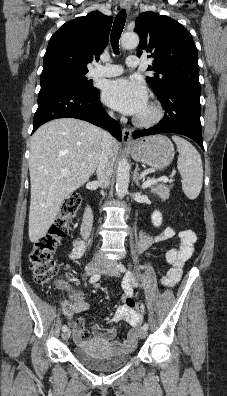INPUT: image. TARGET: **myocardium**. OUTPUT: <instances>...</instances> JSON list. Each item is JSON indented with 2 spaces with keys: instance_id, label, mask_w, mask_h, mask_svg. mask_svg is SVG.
Returning <instances> with one entry per match:
<instances>
[{
  "instance_id": "obj_1",
  "label": "myocardium",
  "mask_w": 227,
  "mask_h": 396,
  "mask_svg": "<svg viewBox=\"0 0 227 396\" xmlns=\"http://www.w3.org/2000/svg\"><path fill=\"white\" fill-rule=\"evenodd\" d=\"M150 114L146 117L137 116L134 119V123L140 127H152L158 124L164 117V110L156 102H150L148 104Z\"/></svg>"
}]
</instances>
